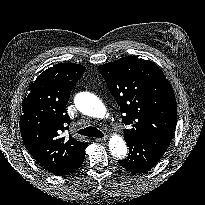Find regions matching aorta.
Masks as SVG:
<instances>
[{
  "label": "aorta",
  "mask_w": 205,
  "mask_h": 205,
  "mask_svg": "<svg viewBox=\"0 0 205 205\" xmlns=\"http://www.w3.org/2000/svg\"><path fill=\"white\" fill-rule=\"evenodd\" d=\"M76 108L85 115L94 118H102L106 109L102 101L90 92H80L74 97ZM109 150L116 159H124L127 156L125 141L119 136H113L109 140Z\"/></svg>",
  "instance_id": "1"
}]
</instances>
